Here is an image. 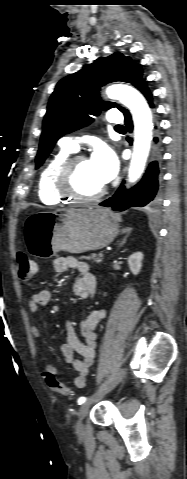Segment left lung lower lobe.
I'll list each match as a JSON object with an SVG mask.
<instances>
[{
	"instance_id": "obj_1",
	"label": "left lung lower lobe",
	"mask_w": 187,
	"mask_h": 479,
	"mask_svg": "<svg viewBox=\"0 0 187 479\" xmlns=\"http://www.w3.org/2000/svg\"><path fill=\"white\" fill-rule=\"evenodd\" d=\"M147 98L150 106L153 108L152 96L147 84L142 80L137 87ZM125 116V125L127 131L131 132L133 124L131 115L128 110L122 111ZM131 142V139L128 138ZM156 143L155 160L149 164V167L142 180L130 190H126L123 185L117 190L113 197L100 203L101 206L111 207L114 211H124L130 207H144L146 205H154L160 198L161 186V155L160 141L154 138Z\"/></svg>"
}]
</instances>
